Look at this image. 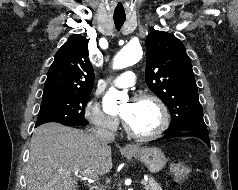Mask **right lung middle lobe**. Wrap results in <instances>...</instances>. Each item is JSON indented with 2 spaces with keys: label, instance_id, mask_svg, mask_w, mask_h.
<instances>
[{
  "label": "right lung middle lobe",
  "instance_id": "dd1d6c3e",
  "mask_svg": "<svg viewBox=\"0 0 238 190\" xmlns=\"http://www.w3.org/2000/svg\"><path fill=\"white\" fill-rule=\"evenodd\" d=\"M89 95L66 94L42 97L35 127L47 122H57L67 126L87 125L88 122L83 115Z\"/></svg>",
  "mask_w": 238,
  "mask_h": 190
}]
</instances>
